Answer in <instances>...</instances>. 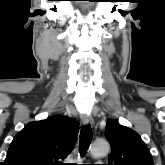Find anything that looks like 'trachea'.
I'll return each mask as SVG.
<instances>
[{"instance_id":"obj_1","label":"trachea","mask_w":165,"mask_h":165,"mask_svg":"<svg viewBox=\"0 0 165 165\" xmlns=\"http://www.w3.org/2000/svg\"><path fill=\"white\" fill-rule=\"evenodd\" d=\"M92 141V129L90 125L83 127L80 132V154L84 156Z\"/></svg>"}]
</instances>
